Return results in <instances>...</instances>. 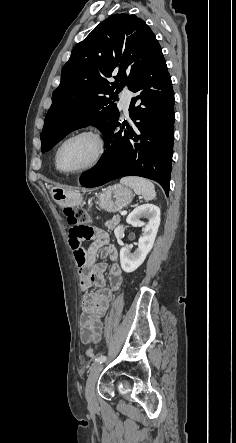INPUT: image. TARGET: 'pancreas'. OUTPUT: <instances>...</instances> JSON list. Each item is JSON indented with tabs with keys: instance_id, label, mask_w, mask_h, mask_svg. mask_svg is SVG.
I'll use <instances>...</instances> for the list:
<instances>
[{
	"instance_id": "cf45deb5",
	"label": "pancreas",
	"mask_w": 236,
	"mask_h": 443,
	"mask_svg": "<svg viewBox=\"0 0 236 443\" xmlns=\"http://www.w3.org/2000/svg\"><path fill=\"white\" fill-rule=\"evenodd\" d=\"M120 223V217L119 216H113L111 220H108L105 222V226L109 230H113L116 228V226Z\"/></svg>"
}]
</instances>
